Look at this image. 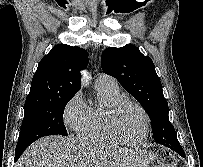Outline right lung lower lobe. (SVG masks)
<instances>
[{
    "label": "right lung lower lobe",
    "mask_w": 203,
    "mask_h": 167,
    "mask_svg": "<svg viewBox=\"0 0 203 167\" xmlns=\"http://www.w3.org/2000/svg\"><path fill=\"white\" fill-rule=\"evenodd\" d=\"M28 147V146H27ZM27 147H24V148H21L19 150H16L15 152V161L18 160V158L22 155V153L24 152V150L27 148Z\"/></svg>",
    "instance_id": "right-lung-lower-lobe-1"
}]
</instances>
